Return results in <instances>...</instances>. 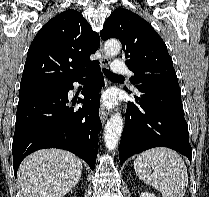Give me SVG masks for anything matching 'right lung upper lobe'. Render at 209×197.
Instances as JSON below:
<instances>
[{
  "label": "right lung upper lobe",
  "instance_id": "1",
  "mask_svg": "<svg viewBox=\"0 0 209 197\" xmlns=\"http://www.w3.org/2000/svg\"><path fill=\"white\" fill-rule=\"evenodd\" d=\"M100 44L85 18L66 10L48 21L32 41L25 62L20 90L63 86L98 63L90 61Z\"/></svg>",
  "mask_w": 209,
  "mask_h": 197
}]
</instances>
